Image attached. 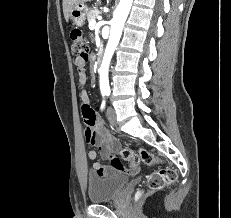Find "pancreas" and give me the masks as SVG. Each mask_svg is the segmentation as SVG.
<instances>
[{
    "label": "pancreas",
    "instance_id": "pancreas-1",
    "mask_svg": "<svg viewBox=\"0 0 231 218\" xmlns=\"http://www.w3.org/2000/svg\"><path fill=\"white\" fill-rule=\"evenodd\" d=\"M99 13L100 11L97 8L91 9L87 14L88 22L90 23L91 21H94Z\"/></svg>",
    "mask_w": 231,
    "mask_h": 218
}]
</instances>
